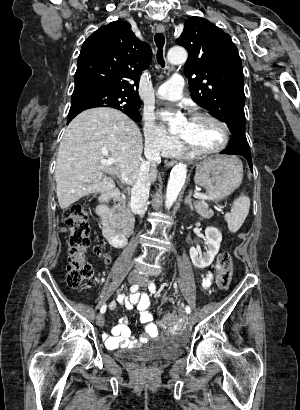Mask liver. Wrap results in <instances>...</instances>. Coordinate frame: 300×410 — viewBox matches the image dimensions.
Masks as SVG:
<instances>
[{
    "mask_svg": "<svg viewBox=\"0 0 300 410\" xmlns=\"http://www.w3.org/2000/svg\"><path fill=\"white\" fill-rule=\"evenodd\" d=\"M107 152V156L104 155ZM143 139L138 126L124 113L112 108L88 109L77 115L65 130L59 145L55 169L56 193L61 209L84 196L115 188L104 173L138 179L143 161ZM113 158L111 165L100 161ZM150 182L157 177L150 166Z\"/></svg>",
    "mask_w": 300,
    "mask_h": 410,
    "instance_id": "liver-1",
    "label": "liver"
}]
</instances>
